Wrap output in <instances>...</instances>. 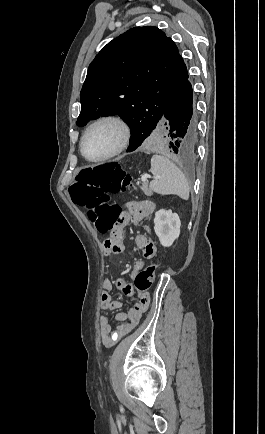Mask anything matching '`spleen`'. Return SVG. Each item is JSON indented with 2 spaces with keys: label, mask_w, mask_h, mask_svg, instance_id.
Returning <instances> with one entry per match:
<instances>
[{
  "label": "spleen",
  "mask_w": 265,
  "mask_h": 434,
  "mask_svg": "<svg viewBox=\"0 0 265 434\" xmlns=\"http://www.w3.org/2000/svg\"><path fill=\"white\" fill-rule=\"evenodd\" d=\"M151 172L154 180L150 182V190L156 194H176L183 200L189 198L188 182L181 170L166 158V156H152Z\"/></svg>",
  "instance_id": "obj_1"
}]
</instances>
